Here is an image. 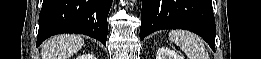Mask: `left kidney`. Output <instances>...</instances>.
Segmentation results:
<instances>
[{
  "instance_id": "1",
  "label": "left kidney",
  "mask_w": 261,
  "mask_h": 59,
  "mask_svg": "<svg viewBox=\"0 0 261 59\" xmlns=\"http://www.w3.org/2000/svg\"><path fill=\"white\" fill-rule=\"evenodd\" d=\"M156 59H183V57L167 47H161L157 50Z\"/></svg>"
}]
</instances>
